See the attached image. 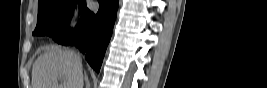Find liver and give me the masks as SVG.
I'll return each instance as SVG.
<instances>
[{"mask_svg":"<svg viewBox=\"0 0 267 88\" xmlns=\"http://www.w3.org/2000/svg\"><path fill=\"white\" fill-rule=\"evenodd\" d=\"M63 84H59V78ZM83 68L80 56L60 47L46 49L32 68V88H80ZM65 86V87H64Z\"/></svg>","mask_w":267,"mask_h":88,"instance_id":"obj_1","label":"liver"}]
</instances>
